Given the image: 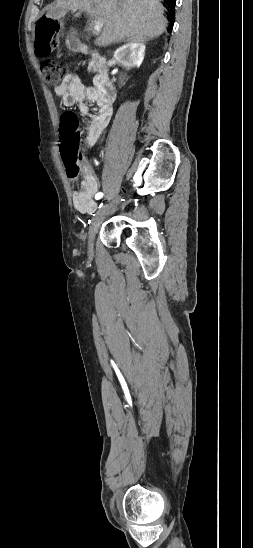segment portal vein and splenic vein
Masks as SVG:
<instances>
[{
    "label": "portal vein and splenic vein",
    "mask_w": 253,
    "mask_h": 548,
    "mask_svg": "<svg viewBox=\"0 0 253 548\" xmlns=\"http://www.w3.org/2000/svg\"><path fill=\"white\" fill-rule=\"evenodd\" d=\"M75 12V10H73ZM103 27V23L101 21V19L98 17V18H95L94 20V26H93V30H94V33H99L101 31Z\"/></svg>",
    "instance_id": "1"
}]
</instances>
